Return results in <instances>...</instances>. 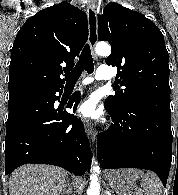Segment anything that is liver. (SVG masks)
I'll list each match as a JSON object with an SVG mask.
<instances>
[{
	"mask_svg": "<svg viewBox=\"0 0 178 195\" xmlns=\"http://www.w3.org/2000/svg\"><path fill=\"white\" fill-rule=\"evenodd\" d=\"M67 172L55 166L27 164L12 172L10 195H59L67 184Z\"/></svg>",
	"mask_w": 178,
	"mask_h": 195,
	"instance_id": "1",
	"label": "liver"
}]
</instances>
